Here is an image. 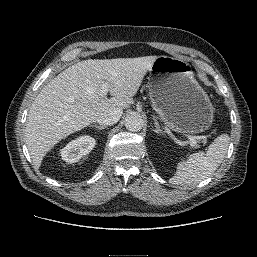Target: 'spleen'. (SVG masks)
I'll return each instance as SVG.
<instances>
[{"mask_svg":"<svg viewBox=\"0 0 257 257\" xmlns=\"http://www.w3.org/2000/svg\"><path fill=\"white\" fill-rule=\"evenodd\" d=\"M229 142V135L222 134L209 145L206 153H194L187 160L180 161L174 176L169 180L170 183L193 185L208 178L224 160Z\"/></svg>","mask_w":257,"mask_h":257,"instance_id":"3e777b00","label":"spleen"}]
</instances>
